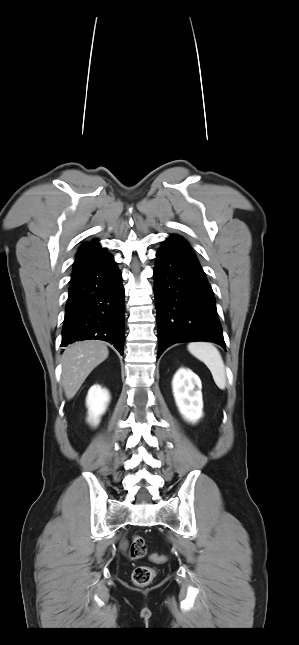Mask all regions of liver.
Listing matches in <instances>:
<instances>
[{
  "mask_svg": "<svg viewBox=\"0 0 299 645\" xmlns=\"http://www.w3.org/2000/svg\"><path fill=\"white\" fill-rule=\"evenodd\" d=\"M109 351L100 341L76 342L67 347L62 355V385L67 399H72L81 385Z\"/></svg>",
  "mask_w": 299,
  "mask_h": 645,
  "instance_id": "6515ba94",
  "label": "liver"
}]
</instances>
